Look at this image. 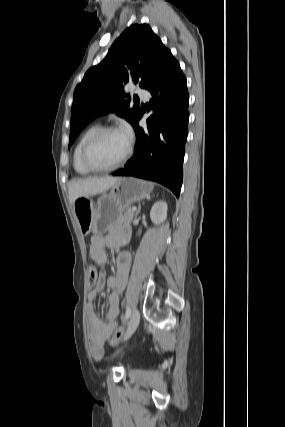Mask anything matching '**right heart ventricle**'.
<instances>
[{
    "label": "right heart ventricle",
    "mask_w": 285,
    "mask_h": 427,
    "mask_svg": "<svg viewBox=\"0 0 285 427\" xmlns=\"http://www.w3.org/2000/svg\"><path fill=\"white\" fill-rule=\"evenodd\" d=\"M100 129L99 124H93L89 126L79 137L74 150H73V167L74 170L80 175H89L93 171L89 170L84 166L81 160V152L85 142L98 130Z\"/></svg>",
    "instance_id": "e07e8e85"
}]
</instances>
